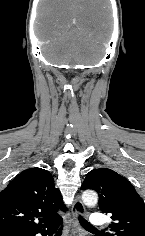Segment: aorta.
Instances as JSON below:
<instances>
[{"mask_svg":"<svg viewBox=\"0 0 145 236\" xmlns=\"http://www.w3.org/2000/svg\"><path fill=\"white\" fill-rule=\"evenodd\" d=\"M82 201L87 206H94L98 202V195L96 192L88 190L83 192Z\"/></svg>","mask_w":145,"mask_h":236,"instance_id":"762f6f07","label":"aorta"}]
</instances>
